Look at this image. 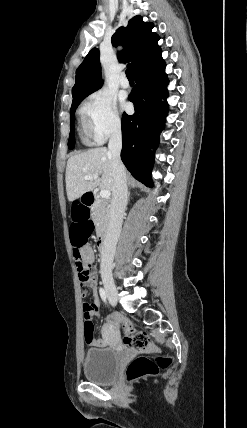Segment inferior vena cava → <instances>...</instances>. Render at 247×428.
<instances>
[{
	"label": "inferior vena cava",
	"instance_id": "1",
	"mask_svg": "<svg viewBox=\"0 0 247 428\" xmlns=\"http://www.w3.org/2000/svg\"><path fill=\"white\" fill-rule=\"evenodd\" d=\"M108 148L112 156L114 185L112 189L108 229L101 249V268L110 270L113 265L116 244L121 232L128 194L126 169L120 157L122 149V133L120 124L114 126L109 139Z\"/></svg>",
	"mask_w": 247,
	"mask_h": 428
}]
</instances>
